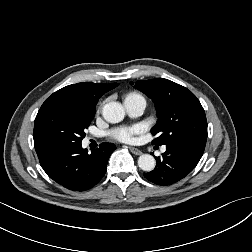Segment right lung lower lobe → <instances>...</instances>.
Here are the masks:
<instances>
[{
  "label": "right lung lower lobe",
  "mask_w": 252,
  "mask_h": 252,
  "mask_svg": "<svg viewBox=\"0 0 252 252\" xmlns=\"http://www.w3.org/2000/svg\"><path fill=\"white\" fill-rule=\"evenodd\" d=\"M116 149L102 143L89 154L81 142L36 145L41 167L58 184L73 191H84L96 185L106 172L107 162Z\"/></svg>",
  "instance_id": "1"
}]
</instances>
